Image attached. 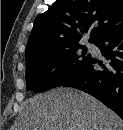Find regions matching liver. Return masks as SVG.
I'll list each match as a JSON object with an SVG mask.
<instances>
[{
  "mask_svg": "<svg viewBox=\"0 0 123 130\" xmlns=\"http://www.w3.org/2000/svg\"><path fill=\"white\" fill-rule=\"evenodd\" d=\"M12 128V130H123V120L89 94L58 87L26 100Z\"/></svg>",
  "mask_w": 123,
  "mask_h": 130,
  "instance_id": "obj_1",
  "label": "liver"
}]
</instances>
